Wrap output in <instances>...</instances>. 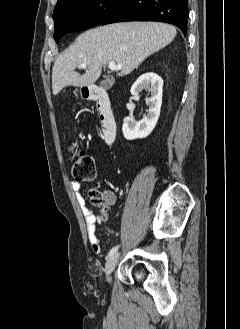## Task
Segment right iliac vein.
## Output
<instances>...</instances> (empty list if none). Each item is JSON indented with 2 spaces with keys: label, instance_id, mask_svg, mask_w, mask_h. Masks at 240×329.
Listing matches in <instances>:
<instances>
[{
  "label": "right iliac vein",
  "instance_id": "right-iliac-vein-1",
  "mask_svg": "<svg viewBox=\"0 0 240 329\" xmlns=\"http://www.w3.org/2000/svg\"><path fill=\"white\" fill-rule=\"evenodd\" d=\"M118 259H119V253H116V254L112 255L111 257H109L106 261L105 273H106V278L108 281H110V279H111L110 274L115 269Z\"/></svg>",
  "mask_w": 240,
  "mask_h": 329
}]
</instances>
